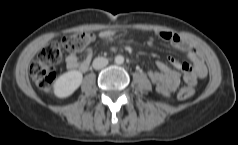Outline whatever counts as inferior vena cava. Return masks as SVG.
<instances>
[{"label":"inferior vena cava","instance_id":"inferior-vena-cava-1","mask_svg":"<svg viewBox=\"0 0 238 145\" xmlns=\"http://www.w3.org/2000/svg\"><path fill=\"white\" fill-rule=\"evenodd\" d=\"M108 64V59L104 57H97L93 60V68L96 70L106 67Z\"/></svg>","mask_w":238,"mask_h":145}]
</instances>
